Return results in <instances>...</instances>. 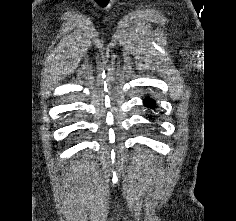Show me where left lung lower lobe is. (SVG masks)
<instances>
[{
	"label": "left lung lower lobe",
	"instance_id": "1",
	"mask_svg": "<svg viewBox=\"0 0 236 221\" xmlns=\"http://www.w3.org/2000/svg\"><path fill=\"white\" fill-rule=\"evenodd\" d=\"M144 103H145V106L152 108V107H154L155 102L150 98H146L144 100Z\"/></svg>",
	"mask_w": 236,
	"mask_h": 221
}]
</instances>
